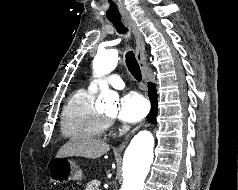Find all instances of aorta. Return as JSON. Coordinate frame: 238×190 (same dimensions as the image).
I'll use <instances>...</instances> for the list:
<instances>
[{
	"label": "aorta",
	"instance_id": "762f6f07",
	"mask_svg": "<svg viewBox=\"0 0 238 190\" xmlns=\"http://www.w3.org/2000/svg\"><path fill=\"white\" fill-rule=\"evenodd\" d=\"M118 51L108 49L99 51L93 60L97 76L110 73L117 66ZM101 106L118 101V94L110 90L106 83L99 84ZM154 137L149 131H140L131 140L123 158V184L120 190H143L145 178L153 162Z\"/></svg>",
	"mask_w": 238,
	"mask_h": 190
}]
</instances>
